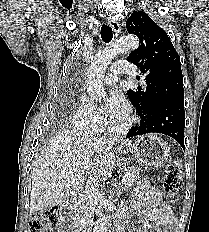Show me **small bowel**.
I'll list each match as a JSON object with an SVG mask.
<instances>
[{"label":"small bowel","mask_w":209,"mask_h":232,"mask_svg":"<svg viewBox=\"0 0 209 232\" xmlns=\"http://www.w3.org/2000/svg\"><path fill=\"white\" fill-rule=\"evenodd\" d=\"M130 206L142 223L133 232H151L153 224L158 227L157 232H170V227L177 221L172 208L163 201L159 188L147 181H143L137 188ZM119 219L124 223L126 217L120 214Z\"/></svg>","instance_id":"c3829d8e"}]
</instances>
